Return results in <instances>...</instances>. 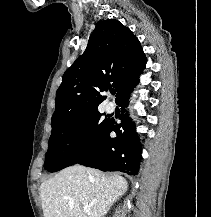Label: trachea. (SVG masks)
I'll return each instance as SVG.
<instances>
[{"instance_id": "obj_1", "label": "trachea", "mask_w": 211, "mask_h": 217, "mask_svg": "<svg viewBox=\"0 0 211 217\" xmlns=\"http://www.w3.org/2000/svg\"><path fill=\"white\" fill-rule=\"evenodd\" d=\"M111 94H112V95H115V91H111Z\"/></svg>"}]
</instances>
